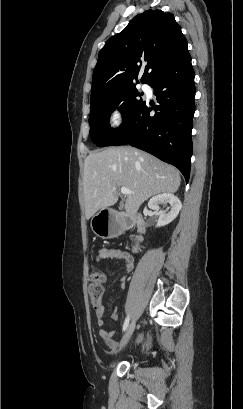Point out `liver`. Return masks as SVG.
Returning <instances> with one entry per match:
<instances>
[{
  "instance_id": "obj_1",
  "label": "liver",
  "mask_w": 243,
  "mask_h": 409,
  "mask_svg": "<svg viewBox=\"0 0 243 409\" xmlns=\"http://www.w3.org/2000/svg\"><path fill=\"white\" fill-rule=\"evenodd\" d=\"M180 182V173L174 166L130 146L90 153L84 161L83 174L86 218L113 206L120 187L134 192L125 201L127 215L134 216L147 199L160 193H175Z\"/></svg>"
}]
</instances>
